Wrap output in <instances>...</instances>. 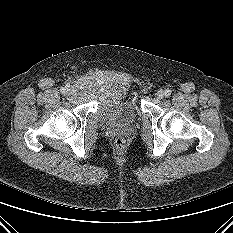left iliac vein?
<instances>
[{
    "label": "left iliac vein",
    "mask_w": 233,
    "mask_h": 233,
    "mask_svg": "<svg viewBox=\"0 0 233 233\" xmlns=\"http://www.w3.org/2000/svg\"><path fill=\"white\" fill-rule=\"evenodd\" d=\"M156 96L158 99H162L165 96L164 90H158Z\"/></svg>",
    "instance_id": "4c4485c4"
}]
</instances>
